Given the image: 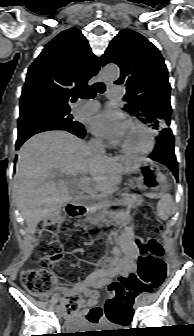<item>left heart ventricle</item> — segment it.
I'll use <instances>...</instances> for the list:
<instances>
[{"label": "left heart ventricle", "mask_w": 194, "mask_h": 336, "mask_svg": "<svg viewBox=\"0 0 194 336\" xmlns=\"http://www.w3.org/2000/svg\"><path fill=\"white\" fill-rule=\"evenodd\" d=\"M149 143L148 134L139 127L127 123L120 145L132 150L145 148Z\"/></svg>", "instance_id": "1"}]
</instances>
